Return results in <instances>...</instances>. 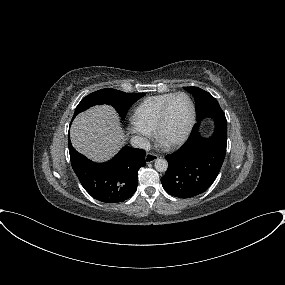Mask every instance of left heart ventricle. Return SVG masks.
<instances>
[{
  "instance_id": "1",
  "label": "left heart ventricle",
  "mask_w": 285,
  "mask_h": 285,
  "mask_svg": "<svg viewBox=\"0 0 285 285\" xmlns=\"http://www.w3.org/2000/svg\"><path fill=\"white\" fill-rule=\"evenodd\" d=\"M191 115V107L184 96L176 97L170 105L168 118L163 127L161 138L163 141H171L185 131Z\"/></svg>"
}]
</instances>
